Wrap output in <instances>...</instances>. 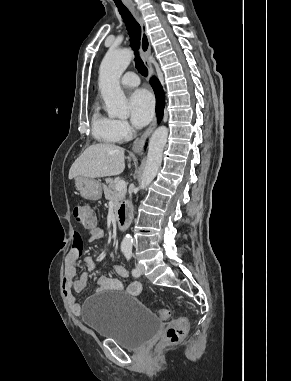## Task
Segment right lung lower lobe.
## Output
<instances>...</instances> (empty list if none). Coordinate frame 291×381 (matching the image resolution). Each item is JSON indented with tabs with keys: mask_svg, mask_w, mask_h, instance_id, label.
Listing matches in <instances>:
<instances>
[{
	"mask_svg": "<svg viewBox=\"0 0 291 381\" xmlns=\"http://www.w3.org/2000/svg\"><path fill=\"white\" fill-rule=\"evenodd\" d=\"M150 82L156 95V112L158 121H160L163 115V109L165 105L164 92L162 86L156 78H152Z\"/></svg>",
	"mask_w": 291,
	"mask_h": 381,
	"instance_id": "right-lung-lower-lobe-1",
	"label": "right lung lower lobe"
}]
</instances>
